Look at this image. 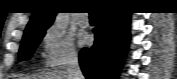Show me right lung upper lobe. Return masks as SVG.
Returning <instances> with one entry per match:
<instances>
[{
  "label": "right lung upper lobe",
  "instance_id": "right-lung-upper-lobe-1",
  "mask_svg": "<svg viewBox=\"0 0 177 79\" xmlns=\"http://www.w3.org/2000/svg\"><path fill=\"white\" fill-rule=\"evenodd\" d=\"M56 14L57 13L54 11H48L47 7L45 6H41L34 11L30 22L27 24L25 29L23 39L32 36L34 33L40 30H46L49 28L53 23Z\"/></svg>",
  "mask_w": 177,
  "mask_h": 79
}]
</instances>
